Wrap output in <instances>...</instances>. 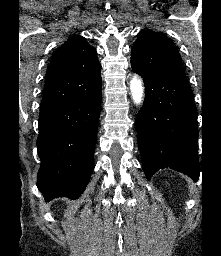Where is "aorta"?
Returning a JSON list of instances; mask_svg holds the SVG:
<instances>
[{
    "label": "aorta",
    "instance_id": "aorta-1",
    "mask_svg": "<svg viewBox=\"0 0 221 256\" xmlns=\"http://www.w3.org/2000/svg\"><path fill=\"white\" fill-rule=\"evenodd\" d=\"M131 96L135 104H140L144 95V88L141 79L134 76L130 81Z\"/></svg>",
    "mask_w": 221,
    "mask_h": 256
}]
</instances>
